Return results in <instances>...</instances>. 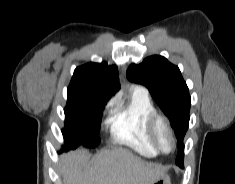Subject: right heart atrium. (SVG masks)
<instances>
[{
	"mask_svg": "<svg viewBox=\"0 0 235 184\" xmlns=\"http://www.w3.org/2000/svg\"><path fill=\"white\" fill-rule=\"evenodd\" d=\"M117 101H118L117 98L113 97L105 104V111L108 113V117H106L104 119V121L102 123V128H104L110 124L111 112L116 108Z\"/></svg>",
	"mask_w": 235,
	"mask_h": 184,
	"instance_id": "d8ad5b80",
	"label": "right heart atrium"
}]
</instances>
